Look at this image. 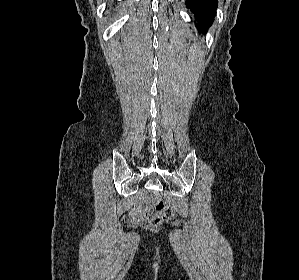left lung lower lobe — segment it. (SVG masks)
Returning a JSON list of instances; mask_svg holds the SVG:
<instances>
[{
    "mask_svg": "<svg viewBox=\"0 0 299 280\" xmlns=\"http://www.w3.org/2000/svg\"><path fill=\"white\" fill-rule=\"evenodd\" d=\"M186 7L195 14V24L200 33L212 25L218 0H186Z\"/></svg>",
    "mask_w": 299,
    "mask_h": 280,
    "instance_id": "left-lung-lower-lobe-1",
    "label": "left lung lower lobe"
}]
</instances>
